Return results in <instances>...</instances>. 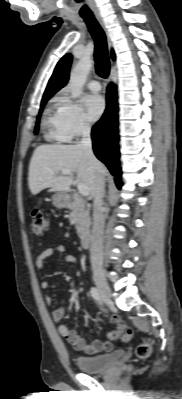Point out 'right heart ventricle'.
Instances as JSON below:
<instances>
[{"mask_svg": "<svg viewBox=\"0 0 182 399\" xmlns=\"http://www.w3.org/2000/svg\"><path fill=\"white\" fill-rule=\"evenodd\" d=\"M59 112V105L51 107L45 112L43 126L45 128V136L48 140H67L61 127Z\"/></svg>", "mask_w": 182, "mask_h": 399, "instance_id": "right-heart-ventricle-1", "label": "right heart ventricle"}]
</instances>
